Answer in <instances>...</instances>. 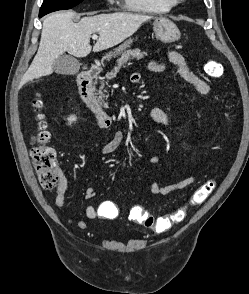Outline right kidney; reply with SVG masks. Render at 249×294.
Wrapping results in <instances>:
<instances>
[{
	"label": "right kidney",
	"mask_w": 249,
	"mask_h": 294,
	"mask_svg": "<svg viewBox=\"0 0 249 294\" xmlns=\"http://www.w3.org/2000/svg\"><path fill=\"white\" fill-rule=\"evenodd\" d=\"M69 123L71 124L72 122L76 121V117L75 116H70L68 118Z\"/></svg>",
	"instance_id": "obj_1"
}]
</instances>
